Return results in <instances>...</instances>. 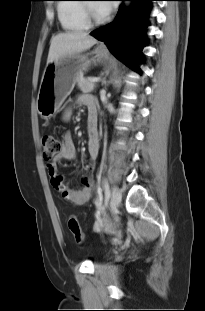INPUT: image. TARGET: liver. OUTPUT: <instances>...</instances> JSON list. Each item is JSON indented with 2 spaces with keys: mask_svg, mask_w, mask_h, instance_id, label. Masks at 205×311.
Returning a JSON list of instances; mask_svg holds the SVG:
<instances>
[{
  "mask_svg": "<svg viewBox=\"0 0 205 311\" xmlns=\"http://www.w3.org/2000/svg\"><path fill=\"white\" fill-rule=\"evenodd\" d=\"M97 39L86 32H66L52 37L47 58V64L57 62L61 58L90 49Z\"/></svg>",
  "mask_w": 205,
  "mask_h": 311,
  "instance_id": "liver-1",
  "label": "liver"
}]
</instances>
